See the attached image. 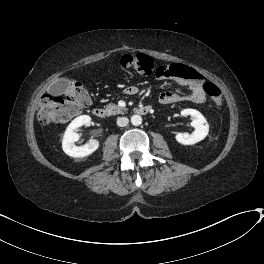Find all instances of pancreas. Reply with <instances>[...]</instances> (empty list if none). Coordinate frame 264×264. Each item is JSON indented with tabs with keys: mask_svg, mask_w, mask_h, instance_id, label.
<instances>
[{
	"mask_svg": "<svg viewBox=\"0 0 264 264\" xmlns=\"http://www.w3.org/2000/svg\"><path fill=\"white\" fill-rule=\"evenodd\" d=\"M105 111H106V114L110 116V115L122 114L125 111V109L115 104H108L106 106Z\"/></svg>",
	"mask_w": 264,
	"mask_h": 264,
	"instance_id": "1",
	"label": "pancreas"
}]
</instances>
